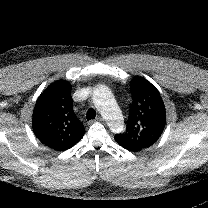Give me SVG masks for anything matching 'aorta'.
Instances as JSON below:
<instances>
[{
    "label": "aorta",
    "mask_w": 208,
    "mask_h": 208,
    "mask_svg": "<svg viewBox=\"0 0 208 208\" xmlns=\"http://www.w3.org/2000/svg\"><path fill=\"white\" fill-rule=\"evenodd\" d=\"M93 103L101 115L108 121L110 129L119 133L123 131V115L111 92L105 85H98L93 91Z\"/></svg>",
    "instance_id": "obj_1"
}]
</instances>
